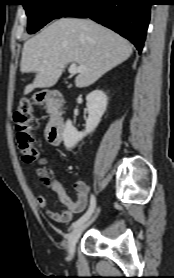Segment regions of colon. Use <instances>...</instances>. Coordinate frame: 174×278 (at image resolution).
<instances>
[{
  "instance_id": "5ec220e1",
  "label": "colon",
  "mask_w": 174,
  "mask_h": 278,
  "mask_svg": "<svg viewBox=\"0 0 174 278\" xmlns=\"http://www.w3.org/2000/svg\"><path fill=\"white\" fill-rule=\"evenodd\" d=\"M31 116L32 105L29 100L24 99L21 101L19 108L13 115L17 147L22 155V159L27 162H34L38 158V152L33 146V138L31 135ZM42 180L46 184H50L51 179L48 172L42 168L39 170Z\"/></svg>"
}]
</instances>
